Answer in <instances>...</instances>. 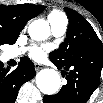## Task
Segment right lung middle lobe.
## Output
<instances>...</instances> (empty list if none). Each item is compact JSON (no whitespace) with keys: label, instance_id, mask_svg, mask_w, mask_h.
I'll list each match as a JSON object with an SVG mask.
<instances>
[{"label":"right lung middle lobe","instance_id":"1","mask_svg":"<svg viewBox=\"0 0 103 103\" xmlns=\"http://www.w3.org/2000/svg\"><path fill=\"white\" fill-rule=\"evenodd\" d=\"M18 36L12 37L8 36L0 31V46L3 44H13L16 42Z\"/></svg>","mask_w":103,"mask_h":103}]
</instances>
